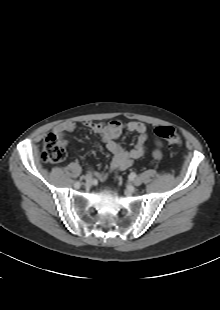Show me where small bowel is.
Wrapping results in <instances>:
<instances>
[{"mask_svg": "<svg viewBox=\"0 0 220 310\" xmlns=\"http://www.w3.org/2000/svg\"><path fill=\"white\" fill-rule=\"evenodd\" d=\"M85 126L94 134L102 136L106 141L108 150L112 153V160L110 162L108 171L96 172L95 175L100 180H105L109 173L126 170L131 167L135 160L141 158L145 152V144L148 140V131L144 123L139 121H130L123 123L118 120L110 122H86ZM76 129V123L73 121H65L58 124L54 132L62 139L64 145L66 141L64 135L73 132ZM137 134V140L134 146L127 150L116 140L124 131ZM153 158L158 160L162 157V142L155 141V148L152 153ZM89 173H92L90 171Z\"/></svg>", "mask_w": 220, "mask_h": 310, "instance_id": "obj_1", "label": "small bowel"}]
</instances>
